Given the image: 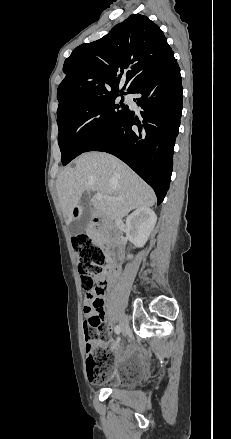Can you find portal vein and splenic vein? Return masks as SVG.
Returning a JSON list of instances; mask_svg holds the SVG:
<instances>
[{"label": "portal vein and splenic vein", "mask_w": 231, "mask_h": 439, "mask_svg": "<svg viewBox=\"0 0 231 439\" xmlns=\"http://www.w3.org/2000/svg\"><path fill=\"white\" fill-rule=\"evenodd\" d=\"M94 197L96 200H99V201H101L105 198V196L101 193H96Z\"/></svg>", "instance_id": "portal-vein-and-splenic-vein-1"}]
</instances>
